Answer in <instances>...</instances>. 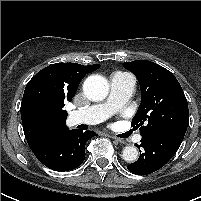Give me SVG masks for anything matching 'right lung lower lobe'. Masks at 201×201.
<instances>
[{"mask_svg":"<svg viewBox=\"0 0 201 201\" xmlns=\"http://www.w3.org/2000/svg\"><path fill=\"white\" fill-rule=\"evenodd\" d=\"M93 136L95 134L90 131L68 130L32 151L46 167L54 171H68L82 164L85 144Z\"/></svg>","mask_w":201,"mask_h":201,"instance_id":"1","label":"right lung lower lobe"}]
</instances>
